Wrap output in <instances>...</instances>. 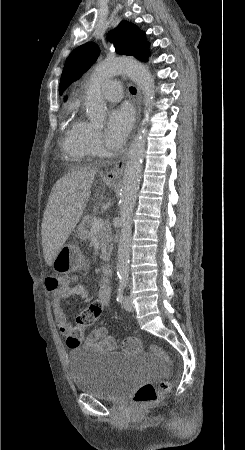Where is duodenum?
Listing matches in <instances>:
<instances>
[{"label":"duodenum","mask_w":245,"mask_h":450,"mask_svg":"<svg viewBox=\"0 0 245 450\" xmlns=\"http://www.w3.org/2000/svg\"><path fill=\"white\" fill-rule=\"evenodd\" d=\"M102 273L105 275H112L113 273V264L111 262H107L102 267Z\"/></svg>","instance_id":"1"}]
</instances>
